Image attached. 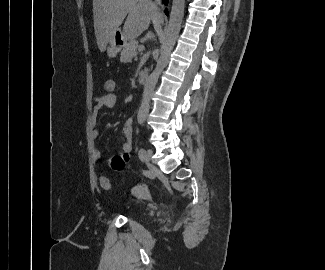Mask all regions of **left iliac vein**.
<instances>
[{
    "mask_svg": "<svg viewBox=\"0 0 325 270\" xmlns=\"http://www.w3.org/2000/svg\"><path fill=\"white\" fill-rule=\"evenodd\" d=\"M152 150H150V149H148L147 151H146V153H145V155H144V161L146 162V163H149L150 162V160H151V156H152Z\"/></svg>",
    "mask_w": 325,
    "mask_h": 270,
    "instance_id": "obj_1",
    "label": "left iliac vein"
}]
</instances>
